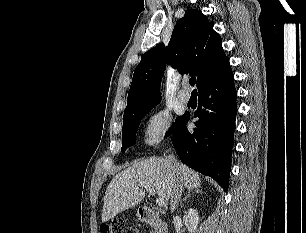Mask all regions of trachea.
Returning a JSON list of instances; mask_svg holds the SVG:
<instances>
[{"label": "trachea", "mask_w": 306, "mask_h": 233, "mask_svg": "<svg viewBox=\"0 0 306 233\" xmlns=\"http://www.w3.org/2000/svg\"><path fill=\"white\" fill-rule=\"evenodd\" d=\"M196 83V78L195 77H191L190 79H189V84L190 85H194ZM195 91V90H194Z\"/></svg>", "instance_id": "3493384b"}]
</instances>
